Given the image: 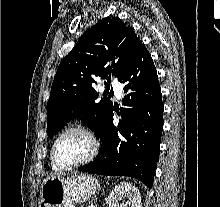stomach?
<instances>
[{
  "instance_id": "obj_1",
  "label": "stomach",
  "mask_w": 220,
  "mask_h": 207,
  "mask_svg": "<svg viewBox=\"0 0 220 207\" xmlns=\"http://www.w3.org/2000/svg\"><path fill=\"white\" fill-rule=\"evenodd\" d=\"M99 188V181L91 175L53 176L42 184L39 207H75L90 200Z\"/></svg>"
}]
</instances>
